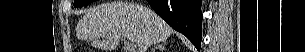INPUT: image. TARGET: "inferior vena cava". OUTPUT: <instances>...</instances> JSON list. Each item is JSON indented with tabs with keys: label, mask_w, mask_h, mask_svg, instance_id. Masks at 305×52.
Returning <instances> with one entry per match:
<instances>
[{
	"label": "inferior vena cava",
	"mask_w": 305,
	"mask_h": 52,
	"mask_svg": "<svg viewBox=\"0 0 305 52\" xmlns=\"http://www.w3.org/2000/svg\"><path fill=\"white\" fill-rule=\"evenodd\" d=\"M141 52H145V50H140Z\"/></svg>",
	"instance_id": "1"
}]
</instances>
